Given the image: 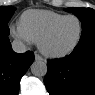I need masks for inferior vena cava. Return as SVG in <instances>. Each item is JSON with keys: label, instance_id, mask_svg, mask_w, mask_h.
<instances>
[{"label": "inferior vena cava", "instance_id": "obj_1", "mask_svg": "<svg viewBox=\"0 0 95 95\" xmlns=\"http://www.w3.org/2000/svg\"><path fill=\"white\" fill-rule=\"evenodd\" d=\"M12 49L16 53H24L27 51V47L25 44L20 40H14L12 43Z\"/></svg>", "mask_w": 95, "mask_h": 95}]
</instances>
